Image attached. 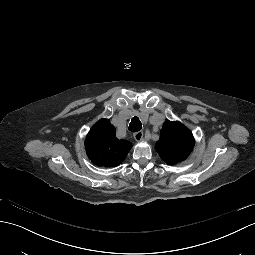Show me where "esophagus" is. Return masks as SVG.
Here are the masks:
<instances>
[{
	"label": "esophagus",
	"instance_id": "esophagus-1",
	"mask_svg": "<svg viewBox=\"0 0 255 255\" xmlns=\"http://www.w3.org/2000/svg\"><path fill=\"white\" fill-rule=\"evenodd\" d=\"M134 138L136 141H141L143 139V132L142 131H138L134 134Z\"/></svg>",
	"mask_w": 255,
	"mask_h": 255
}]
</instances>
